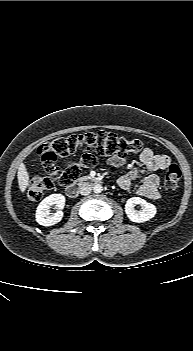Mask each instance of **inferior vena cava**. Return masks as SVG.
Listing matches in <instances>:
<instances>
[{
	"mask_svg": "<svg viewBox=\"0 0 193 351\" xmlns=\"http://www.w3.org/2000/svg\"><path fill=\"white\" fill-rule=\"evenodd\" d=\"M92 187L89 183H83L80 188L79 192L81 195H89L91 193Z\"/></svg>",
	"mask_w": 193,
	"mask_h": 351,
	"instance_id": "inferior-vena-cava-1",
	"label": "inferior vena cava"
}]
</instances>
